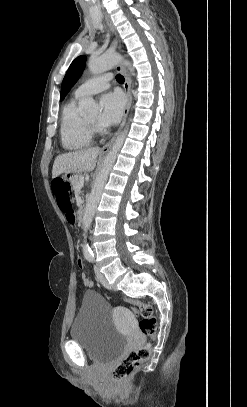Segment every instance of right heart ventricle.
<instances>
[{"label": "right heart ventricle", "mask_w": 247, "mask_h": 407, "mask_svg": "<svg viewBox=\"0 0 247 407\" xmlns=\"http://www.w3.org/2000/svg\"><path fill=\"white\" fill-rule=\"evenodd\" d=\"M74 97L62 109L60 118V138L64 149L76 151L88 147L93 136L87 131L79 101Z\"/></svg>", "instance_id": "1"}]
</instances>
